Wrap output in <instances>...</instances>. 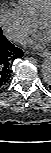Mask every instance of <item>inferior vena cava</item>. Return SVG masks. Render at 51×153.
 <instances>
[{"mask_svg": "<svg viewBox=\"0 0 51 153\" xmlns=\"http://www.w3.org/2000/svg\"><path fill=\"white\" fill-rule=\"evenodd\" d=\"M4 35L8 40L11 41H19L21 38H23V34L14 29H9L5 31Z\"/></svg>", "mask_w": 51, "mask_h": 153, "instance_id": "602c4592", "label": "inferior vena cava"}]
</instances>
